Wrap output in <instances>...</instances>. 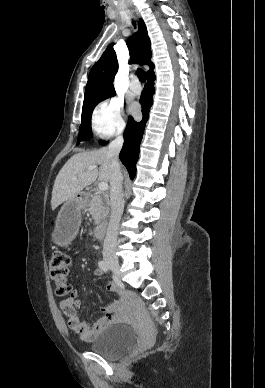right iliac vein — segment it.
<instances>
[{"label": "right iliac vein", "mask_w": 265, "mask_h": 388, "mask_svg": "<svg viewBox=\"0 0 265 388\" xmlns=\"http://www.w3.org/2000/svg\"><path fill=\"white\" fill-rule=\"evenodd\" d=\"M104 260L106 262V264L108 265V267L118 276L120 277L121 276V270H120V265H119V262L117 260V258L113 257V256H109V255H106L104 257Z\"/></svg>", "instance_id": "right-iliac-vein-1"}]
</instances>
